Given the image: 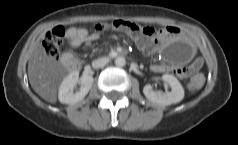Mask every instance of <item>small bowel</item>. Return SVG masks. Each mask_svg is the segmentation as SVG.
Listing matches in <instances>:
<instances>
[{
	"mask_svg": "<svg viewBox=\"0 0 238 145\" xmlns=\"http://www.w3.org/2000/svg\"><path fill=\"white\" fill-rule=\"evenodd\" d=\"M173 28H167L166 32H172ZM69 37L73 42L80 41V40H89L93 41L97 39V36L95 34H87L82 29H76L69 33ZM201 66V61L199 59L192 60L191 62L187 64H183L181 66H178L172 71L181 76L186 77L188 75H191L195 73ZM152 70L156 72H166L169 71L170 68L165 64H155L152 66Z\"/></svg>",
	"mask_w": 238,
	"mask_h": 145,
	"instance_id": "1",
	"label": "small bowel"
}]
</instances>
